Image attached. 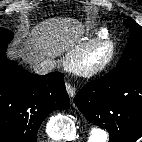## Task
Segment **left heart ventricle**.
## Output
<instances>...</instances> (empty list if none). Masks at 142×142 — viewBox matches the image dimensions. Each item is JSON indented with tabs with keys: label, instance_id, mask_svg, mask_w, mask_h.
<instances>
[{
	"label": "left heart ventricle",
	"instance_id": "1",
	"mask_svg": "<svg viewBox=\"0 0 142 142\" xmlns=\"http://www.w3.org/2000/svg\"><path fill=\"white\" fill-rule=\"evenodd\" d=\"M107 47L100 46L91 52L87 58L88 63H95L102 60L107 54Z\"/></svg>",
	"mask_w": 142,
	"mask_h": 142
}]
</instances>
